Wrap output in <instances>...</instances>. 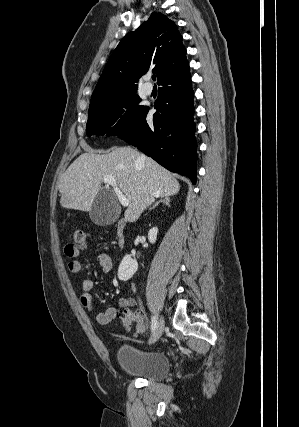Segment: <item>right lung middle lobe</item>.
Returning <instances> with one entry per match:
<instances>
[{"label": "right lung middle lobe", "mask_w": 299, "mask_h": 427, "mask_svg": "<svg viewBox=\"0 0 299 427\" xmlns=\"http://www.w3.org/2000/svg\"><path fill=\"white\" fill-rule=\"evenodd\" d=\"M140 101L136 91H133L91 102L87 134L121 135L131 130L147 110L145 106H138Z\"/></svg>", "instance_id": "obj_1"}]
</instances>
